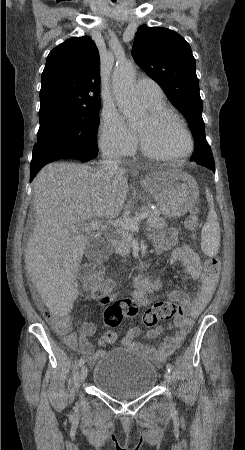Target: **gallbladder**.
Instances as JSON below:
<instances>
[{"instance_id":"1","label":"gallbladder","mask_w":245,"mask_h":450,"mask_svg":"<svg viewBox=\"0 0 245 450\" xmlns=\"http://www.w3.org/2000/svg\"><path fill=\"white\" fill-rule=\"evenodd\" d=\"M109 254V247L96 240L88 242L85 249V255L89 260L103 261Z\"/></svg>"}]
</instances>
